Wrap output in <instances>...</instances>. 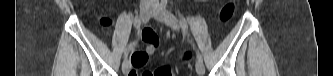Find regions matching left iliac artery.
Instances as JSON below:
<instances>
[{"instance_id":"left-iliac-artery-1","label":"left iliac artery","mask_w":333,"mask_h":76,"mask_svg":"<svg viewBox=\"0 0 333 76\" xmlns=\"http://www.w3.org/2000/svg\"><path fill=\"white\" fill-rule=\"evenodd\" d=\"M162 5H163V7H165L166 6V2L162 1ZM179 22H180L181 27L184 30H186L187 29V20L184 17H179ZM196 55H197V59L199 61H203L202 55L199 53V51H196Z\"/></svg>"}]
</instances>
